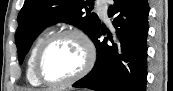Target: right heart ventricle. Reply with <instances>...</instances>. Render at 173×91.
I'll use <instances>...</instances> for the list:
<instances>
[{"instance_id":"obj_1","label":"right heart ventricle","mask_w":173,"mask_h":91,"mask_svg":"<svg viewBox=\"0 0 173 91\" xmlns=\"http://www.w3.org/2000/svg\"><path fill=\"white\" fill-rule=\"evenodd\" d=\"M50 34V28H46L41 32V34L37 37V39L34 41L31 50L29 52L28 60H27V79L28 81L34 85L39 86L40 82L37 80L35 73H34V59L36 52L41 45V43L45 40V38Z\"/></svg>"}]
</instances>
